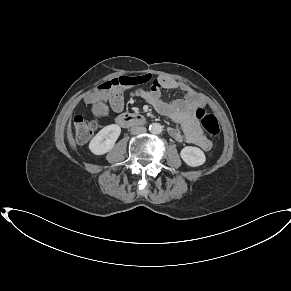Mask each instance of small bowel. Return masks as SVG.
Returning <instances> with one entry per match:
<instances>
[{"instance_id": "c3829d8e", "label": "small bowel", "mask_w": 291, "mask_h": 291, "mask_svg": "<svg viewBox=\"0 0 291 291\" xmlns=\"http://www.w3.org/2000/svg\"><path fill=\"white\" fill-rule=\"evenodd\" d=\"M142 78L146 81L150 79L148 75H144ZM162 89L180 90L185 92V96L181 99L165 101L161 97ZM131 96L144 98L159 114L170 117L176 122L181 131L170 128L169 134L177 142H187L200 147L204 151L211 149V141L203 135L194 118L196 109L204 107L205 103L186 84L167 76H157L150 89H137L131 93ZM84 100L91 105L93 113L98 117L108 114V106L114 112H121L125 105L121 88L105 94L93 91L88 93Z\"/></svg>"}]
</instances>
